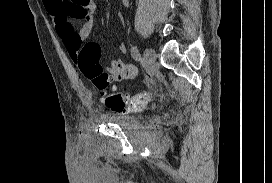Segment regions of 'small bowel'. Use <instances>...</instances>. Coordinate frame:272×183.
I'll return each instance as SVG.
<instances>
[{
    "label": "small bowel",
    "instance_id": "small-bowel-1",
    "mask_svg": "<svg viewBox=\"0 0 272 183\" xmlns=\"http://www.w3.org/2000/svg\"><path fill=\"white\" fill-rule=\"evenodd\" d=\"M46 11L56 24V30L62 39L72 59L77 62L82 43L90 36L94 27V14L96 4L93 0H43ZM80 21L82 25L78 31L74 28V22ZM124 53L125 45L119 46ZM109 76L114 81H125L135 75L133 65L121 60L112 61L108 66Z\"/></svg>",
    "mask_w": 272,
    "mask_h": 183
}]
</instances>
